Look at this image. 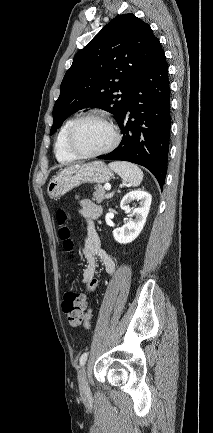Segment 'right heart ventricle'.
<instances>
[{
	"instance_id": "obj_1",
	"label": "right heart ventricle",
	"mask_w": 213,
	"mask_h": 433,
	"mask_svg": "<svg viewBox=\"0 0 213 433\" xmlns=\"http://www.w3.org/2000/svg\"><path fill=\"white\" fill-rule=\"evenodd\" d=\"M75 118H69L65 121L60 131L58 132L55 142V156L58 161L68 163L75 161L77 157L73 155L67 145L68 132L74 123Z\"/></svg>"
}]
</instances>
